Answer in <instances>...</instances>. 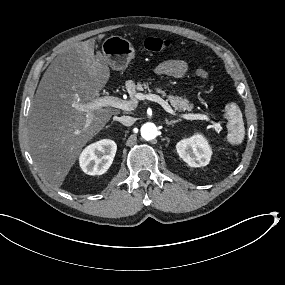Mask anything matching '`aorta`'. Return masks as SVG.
I'll use <instances>...</instances> for the list:
<instances>
[{
    "label": "aorta",
    "instance_id": "aorta-1",
    "mask_svg": "<svg viewBox=\"0 0 285 285\" xmlns=\"http://www.w3.org/2000/svg\"><path fill=\"white\" fill-rule=\"evenodd\" d=\"M158 135L157 127L152 123H146L141 127V137L145 141H152Z\"/></svg>",
    "mask_w": 285,
    "mask_h": 285
}]
</instances>
